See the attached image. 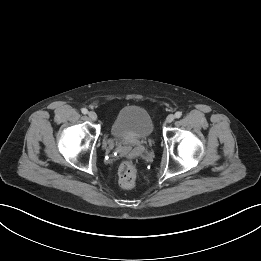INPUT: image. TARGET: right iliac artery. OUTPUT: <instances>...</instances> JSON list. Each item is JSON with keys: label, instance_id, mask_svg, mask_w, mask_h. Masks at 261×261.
<instances>
[{"label": "right iliac artery", "instance_id": "82829eb1", "mask_svg": "<svg viewBox=\"0 0 261 261\" xmlns=\"http://www.w3.org/2000/svg\"><path fill=\"white\" fill-rule=\"evenodd\" d=\"M81 111H82L83 114H87L88 113V110L86 108H83Z\"/></svg>", "mask_w": 261, "mask_h": 261}]
</instances>
